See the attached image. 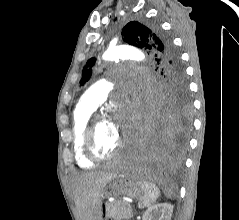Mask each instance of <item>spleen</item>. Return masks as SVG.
Segmentation results:
<instances>
[{
    "instance_id": "1",
    "label": "spleen",
    "mask_w": 239,
    "mask_h": 220,
    "mask_svg": "<svg viewBox=\"0 0 239 220\" xmlns=\"http://www.w3.org/2000/svg\"><path fill=\"white\" fill-rule=\"evenodd\" d=\"M137 182L143 191L138 207H150L160 196L159 188L154 183L147 180H138Z\"/></svg>"
}]
</instances>
